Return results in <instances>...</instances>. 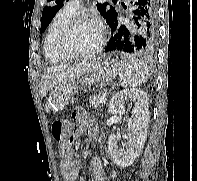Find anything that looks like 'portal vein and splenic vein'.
Listing matches in <instances>:
<instances>
[{"label": "portal vein and splenic vein", "instance_id": "18ae733b", "mask_svg": "<svg viewBox=\"0 0 197 181\" xmlns=\"http://www.w3.org/2000/svg\"><path fill=\"white\" fill-rule=\"evenodd\" d=\"M100 103L101 104H105L106 103V98L105 97H102L101 100H100Z\"/></svg>", "mask_w": 197, "mask_h": 181}]
</instances>
